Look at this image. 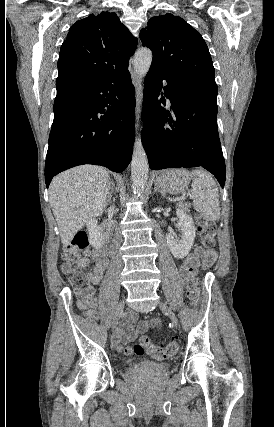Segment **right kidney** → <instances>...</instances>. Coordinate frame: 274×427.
Listing matches in <instances>:
<instances>
[{"instance_id":"right-kidney-1","label":"right kidney","mask_w":274,"mask_h":427,"mask_svg":"<svg viewBox=\"0 0 274 427\" xmlns=\"http://www.w3.org/2000/svg\"><path fill=\"white\" fill-rule=\"evenodd\" d=\"M86 223L88 227L89 245H92V247H101L103 243V233L101 227L97 225V219H95V217H88Z\"/></svg>"}]
</instances>
